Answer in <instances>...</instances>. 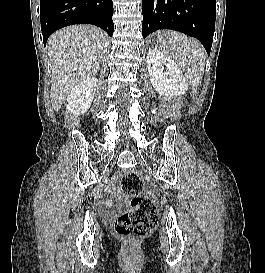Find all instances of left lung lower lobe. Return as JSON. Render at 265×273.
I'll use <instances>...</instances> for the list:
<instances>
[{"label":"left lung lower lobe","mask_w":265,"mask_h":273,"mask_svg":"<svg viewBox=\"0 0 265 273\" xmlns=\"http://www.w3.org/2000/svg\"><path fill=\"white\" fill-rule=\"evenodd\" d=\"M142 35L171 29L197 38L211 51L216 0H142Z\"/></svg>","instance_id":"1"}]
</instances>
